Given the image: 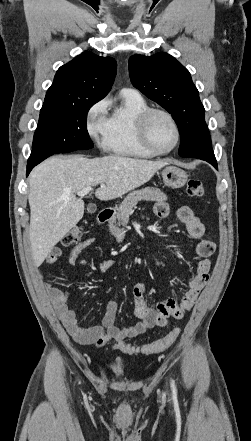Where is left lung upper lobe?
Returning <instances> with one entry per match:
<instances>
[{
    "label": "left lung upper lobe",
    "instance_id": "5c2ea615",
    "mask_svg": "<svg viewBox=\"0 0 251 441\" xmlns=\"http://www.w3.org/2000/svg\"><path fill=\"white\" fill-rule=\"evenodd\" d=\"M129 75L134 87L166 109L180 132L179 153L187 151L184 136L206 125L205 109L189 71L166 53L134 55L129 59Z\"/></svg>",
    "mask_w": 251,
    "mask_h": 441
}]
</instances>
